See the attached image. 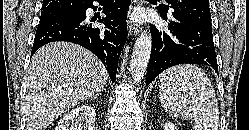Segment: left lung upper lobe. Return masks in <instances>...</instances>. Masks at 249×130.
<instances>
[{
  "label": "left lung upper lobe",
  "instance_id": "5c2ea615",
  "mask_svg": "<svg viewBox=\"0 0 249 130\" xmlns=\"http://www.w3.org/2000/svg\"><path fill=\"white\" fill-rule=\"evenodd\" d=\"M170 5L161 4L158 9L167 14L169 7L171 13L196 20L202 24L211 25V14L209 9V0H166Z\"/></svg>",
  "mask_w": 249,
  "mask_h": 130
}]
</instances>
